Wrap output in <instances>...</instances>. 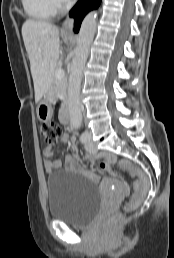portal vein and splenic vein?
I'll use <instances>...</instances> for the list:
<instances>
[{"instance_id":"portal-vein-and-splenic-vein-1","label":"portal vein and splenic vein","mask_w":174,"mask_h":258,"mask_svg":"<svg viewBox=\"0 0 174 258\" xmlns=\"http://www.w3.org/2000/svg\"><path fill=\"white\" fill-rule=\"evenodd\" d=\"M55 76L58 78V79H62L65 77V71L62 70V69H58L56 72H55Z\"/></svg>"}]
</instances>
